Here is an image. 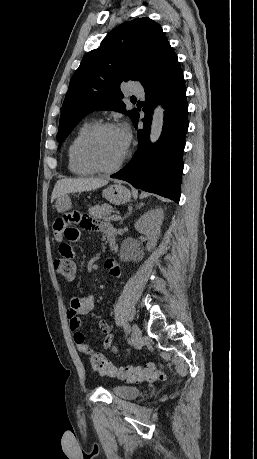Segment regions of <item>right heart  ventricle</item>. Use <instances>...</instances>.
I'll use <instances>...</instances> for the list:
<instances>
[{
  "label": "right heart ventricle",
  "mask_w": 257,
  "mask_h": 459,
  "mask_svg": "<svg viewBox=\"0 0 257 459\" xmlns=\"http://www.w3.org/2000/svg\"><path fill=\"white\" fill-rule=\"evenodd\" d=\"M94 126L93 121L83 123L74 134L67 149L68 168L71 173L78 176L92 175L94 171L84 166L78 156V147L84 135Z\"/></svg>",
  "instance_id": "right-heart-ventricle-1"
}]
</instances>
